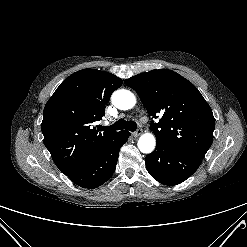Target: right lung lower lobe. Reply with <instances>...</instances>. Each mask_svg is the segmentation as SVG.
I'll return each mask as SVG.
<instances>
[{
    "instance_id": "98d812e1",
    "label": "right lung lower lobe",
    "mask_w": 247,
    "mask_h": 247,
    "mask_svg": "<svg viewBox=\"0 0 247 247\" xmlns=\"http://www.w3.org/2000/svg\"><path fill=\"white\" fill-rule=\"evenodd\" d=\"M130 133L120 131L111 141L99 148L85 163L71 173L70 180L83 188H96L104 184L114 173L121 146Z\"/></svg>"
}]
</instances>
